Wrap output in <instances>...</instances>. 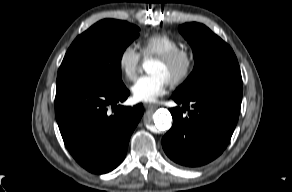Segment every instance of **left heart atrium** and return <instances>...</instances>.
<instances>
[{"mask_svg": "<svg viewBox=\"0 0 292 192\" xmlns=\"http://www.w3.org/2000/svg\"><path fill=\"white\" fill-rule=\"evenodd\" d=\"M168 80L159 73L142 76L131 86L133 98L138 102H153L165 94Z\"/></svg>", "mask_w": 292, "mask_h": 192, "instance_id": "left-heart-atrium-1", "label": "left heart atrium"}]
</instances>
